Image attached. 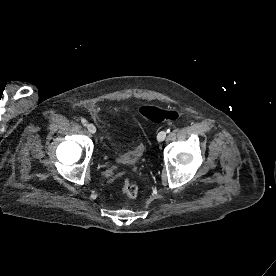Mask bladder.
I'll list each match as a JSON object with an SVG mask.
<instances>
[{"label": "bladder", "instance_id": "1", "mask_svg": "<svg viewBox=\"0 0 276 276\" xmlns=\"http://www.w3.org/2000/svg\"><path fill=\"white\" fill-rule=\"evenodd\" d=\"M142 149L140 147L134 149H128L118 153L115 157L116 161L120 164L133 166L142 156Z\"/></svg>", "mask_w": 276, "mask_h": 276}]
</instances>
